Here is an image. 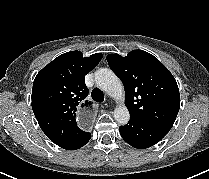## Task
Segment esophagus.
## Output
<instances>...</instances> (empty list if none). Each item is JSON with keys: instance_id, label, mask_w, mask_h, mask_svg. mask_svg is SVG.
Instances as JSON below:
<instances>
[{"instance_id": "34e87169", "label": "esophagus", "mask_w": 209, "mask_h": 179, "mask_svg": "<svg viewBox=\"0 0 209 179\" xmlns=\"http://www.w3.org/2000/svg\"><path fill=\"white\" fill-rule=\"evenodd\" d=\"M95 112L96 105L93 102H83L77 107L78 123L83 129H90L94 125Z\"/></svg>"}]
</instances>
